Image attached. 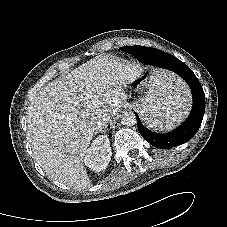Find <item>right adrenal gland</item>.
Returning <instances> with one entry per match:
<instances>
[{
	"label": "right adrenal gland",
	"mask_w": 227,
	"mask_h": 227,
	"mask_svg": "<svg viewBox=\"0 0 227 227\" xmlns=\"http://www.w3.org/2000/svg\"><path fill=\"white\" fill-rule=\"evenodd\" d=\"M106 127H107V126H104L103 128H101V129L99 130V132H101V133H105V132H106V130H105V129H106Z\"/></svg>",
	"instance_id": "1"
}]
</instances>
